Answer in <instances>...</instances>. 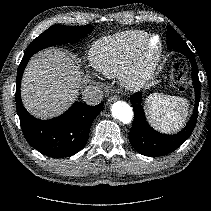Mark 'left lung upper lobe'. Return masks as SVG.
<instances>
[{
    "label": "left lung upper lobe",
    "mask_w": 211,
    "mask_h": 211,
    "mask_svg": "<svg viewBox=\"0 0 211 211\" xmlns=\"http://www.w3.org/2000/svg\"><path fill=\"white\" fill-rule=\"evenodd\" d=\"M170 36H175L179 39H182L179 34L171 27V26H168L167 27V41L169 40V37Z\"/></svg>",
    "instance_id": "obj_1"
}]
</instances>
